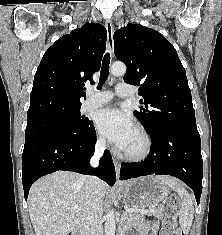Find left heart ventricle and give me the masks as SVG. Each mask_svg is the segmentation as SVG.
<instances>
[{
  "label": "left heart ventricle",
  "instance_id": "left-heart-ventricle-1",
  "mask_svg": "<svg viewBox=\"0 0 222 235\" xmlns=\"http://www.w3.org/2000/svg\"><path fill=\"white\" fill-rule=\"evenodd\" d=\"M143 146V141L142 138L140 137V135L135 131V133L133 134L129 144L127 145V147L124 149V151H128V152H134V151H138L142 148Z\"/></svg>",
  "mask_w": 222,
  "mask_h": 235
}]
</instances>
